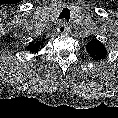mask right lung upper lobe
I'll use <instances>...</instances> for the list:
<instances>
[{
    "label": "right lung upper lobe",
    "mask_w": 118,
    "mask_h": 118,
    "mask_svg": "<svg viewBox=\"0 0 118 118\" xmlns=\"http://www.w3.org/2000/svg\"><path fill=\"white\" fill-rule=\"evenodd\" d=\"M42 45V42L37 41L36 43L31 42L27 46V50L30 51L31 53H37Z\"/></svg>",
    "instance_id": "obj_1"
}]
</instances>
